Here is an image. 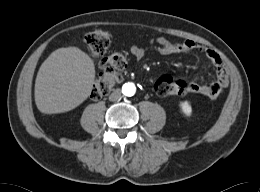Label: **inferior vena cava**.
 <instances>
[{"mask_svg":"<svg viewBox=\"0 0 260 192\" xmlns=\"http://www.w3.org/2000/svg\"><path fill=\"white\" fill-rule=\"evenodd\" d=\"M120 97H121V91L118 90V89H116V90H114V91L110 94L109 100H110V101H116V100H118Z\"/></svg>","mask_w":260,"mask_h":192,"instance_id":"inferior-vena-cava-1","label":"inferior vena cava"}]
</instances>
